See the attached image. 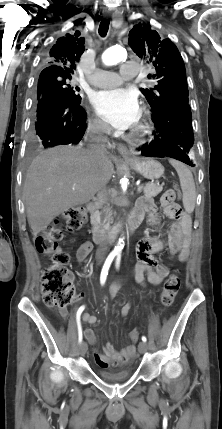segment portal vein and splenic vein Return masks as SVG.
<instances>
[{"label":"portal vein and splenic vein","instance_id":"1","mask_svg":"<svg viewBox=\"0 0 222 429\" xmlns=\"http://www.w3.org/2000/svg\"><path fill=\"white\" fill-rule=\"evenodd\" d=\"M142 189H143V186H139L137 189L138 193H140L142 191Z\"/></svg>","mask_w":222,"mask_h":429}]
</instances>
